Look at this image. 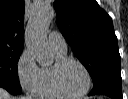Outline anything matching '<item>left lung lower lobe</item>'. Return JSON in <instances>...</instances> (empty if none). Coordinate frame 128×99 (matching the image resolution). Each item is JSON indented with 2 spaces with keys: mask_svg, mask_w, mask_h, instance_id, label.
Listing matches in <instances>:
<instances>
[{
  "mask_svg": "<svg viewBox=\"0 0 128 99\" xmlns=\"http://www.w3.org/2000/svg\"><path fill=\"white\" fill-rule=\"evenodd\" d=\"M94 88L89 93L92 95H105L112 99H123L121 72L109 70L101 74L93 83Z\"/></svg>",
  "mask_w": 128,
  "mask_h": 99,
  "instance_id": "1",
  "label": "left lung lower lobe"
}]
</instances>
